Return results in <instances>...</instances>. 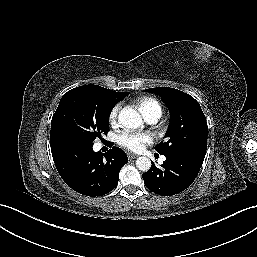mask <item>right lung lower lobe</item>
I'll return each instance as SVG.
<instances>
[{
	"label": "right lung lower lobe",
	"instance_id": "right-lung-lower-lobe-1",
	"mask_svg": "<svg viewBox=\"0 0 257 257\" xmlns=\"http://www.w3.org/2000/svg\"><path fill=\"white\" fill-rule=\"evenodd\" d=\"M93 143L67 140L51 144L55 166L64 182L86 196H102L118 183L119 171L128 162L126 153L112 147L107 153L93 151Z\"/></svg>",
	"mask_w": 257,
	"mask_h": 257
}]
</instances>
